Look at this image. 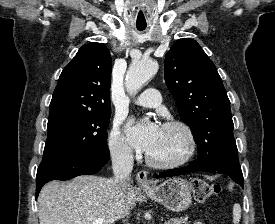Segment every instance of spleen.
Masks as SVG:
<instances>
[{
    "mask_svg": "<svg viewBox=\"0 0 275 224\" xmlns=\"http://www.w3.org/2000/svg\"><path fill=\"white\" fill-rule=\"evenodd\" d=\"M241 219V207L239 204H235L233 207V222L234 224H239Z\"/></svg>",
    "mask_w": 275,
    "mask_h": 224,
    "instance_id": "spleen-1",
    "label": "spleen"
}]
</instances>
